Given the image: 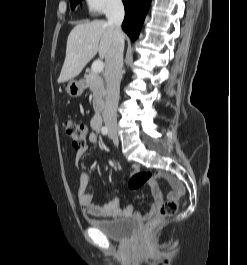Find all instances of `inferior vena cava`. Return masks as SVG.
<instances>
[{
	"mask_svg": "<svg viewBox=\"0 0 247 265\" xmlns=\"http://www.w3.org/2000/svg\"><path fill=\"white\" fill-rule=\"evenodd\" d=\"M106 17L113 26L114 32L112 45L105 58L107 94L103 117L106 126H116L124 51V34L121 30L124 6L121 0H111L106 11Z\"/></svg>",
	"mask_w": 247,
	"mask_h": 265,
	"instance_id": "inferior-vena-cava-1",
	"label": "inferior vena cava"
}]
</instances>
